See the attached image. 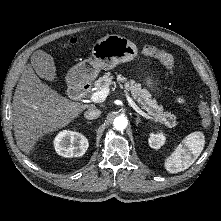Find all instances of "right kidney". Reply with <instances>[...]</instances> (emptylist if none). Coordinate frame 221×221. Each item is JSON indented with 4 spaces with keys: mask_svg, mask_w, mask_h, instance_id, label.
I'll return each instance as SVG.
<instances>
[{
    "mask_svg": "<svg viewBox=\"0 0 221 221\" xmlns=\"http://www.w3.org/2000/svg\"><path fill=\"white\" fill-rule=\"evenodd\" d=\"M88 146L87 138L75 131H61L54 140L56 152L63 157H80L85 154Z\"/></svg>",
    "mask_w": 221,
    "mask_h": 221,
    "instance_id": "right-kidney-1",
    "label": "right kidney"
}]
</instances>
